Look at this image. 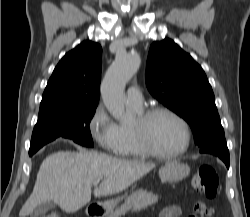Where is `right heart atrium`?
Wrapping results in <instances>:
<instances>
[{
	"instance_id": "1",
	"label": "right heart atrium",
	"mask_w": 250,
	"mask_h": 217,
	"mask_svg": "<svg viewBox=\"0 0 250 217\" xmlns=\"http://www.w3.org/2000/svg\"><path fill=\"white\" fill-rule=\"evenodd\" d=\"M88 131L93 140L105 151L117 153L120 143L118 124L102 104H98L88 120Z\"/></svg>"
}]
</instances>
